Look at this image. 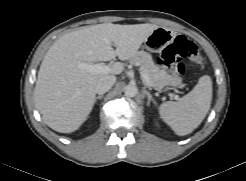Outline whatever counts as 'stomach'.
I'll return each mask as SVG.
<instances>
[{
  "mask_svg": "<svg viewBox=\"0 0 246 181\" xmlns=\"http://www.w3.org/2000/svg\"><path fill=\"white\" fill-rule=\"evenodd\" d=\"M174 38L175 34L172 30L165 27H158L145 40V45L149 51L157 52L170 44Z\"/></svg>",
  "mask_w": 246,
  "mask_h": 181,
  "instance_id": "stomach-1",
  "label": "stomach"
}]
</instances>
